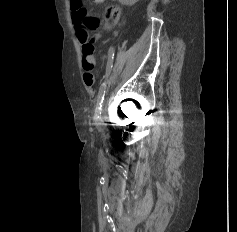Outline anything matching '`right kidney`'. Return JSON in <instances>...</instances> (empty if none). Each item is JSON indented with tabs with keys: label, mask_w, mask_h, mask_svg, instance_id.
<instances>
[{
	"label": "right kidney",
	"mask_w": 237,
	"mask_h": 232,
	"mask_svg": "<svg viewBox=\"0 0 237 232\" xmlns=\"http://www.w3.org/2000/svg\"><path fill=\"white\" fill-rule=\"evenodd\" d=\"M121 4L123 5H128V6H132L134 5L136 2H138L139 0H118Z\"/></svg>",
	"instance_id": "right-kidney-1"
}]
</instances>
